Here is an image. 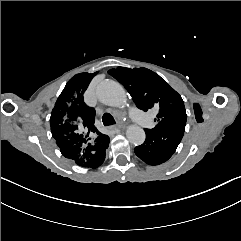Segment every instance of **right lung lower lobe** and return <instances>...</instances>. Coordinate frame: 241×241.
Masks as SVG:
<instances>
[{"label":"right lung lower lobe","instance_id":"right-lung-lower-lobe-1","mask_svg":"<svg viewBox=\"0 0 241 241\" xmlns=\"http://www.w3.org/2000/svg\"><path fill=\"white\" fill-rule=\"evenodd\" d=\"M109 142H110L109 137H107L104 143L100 145H96V147L99 148L97 154L93 155L92 158H90L84 164L79 166L85 167V168H93V169L99 167L105 160V151L108 148Z\"/></svg>","mask_w":241,"mask_h":241}]
</instances>
